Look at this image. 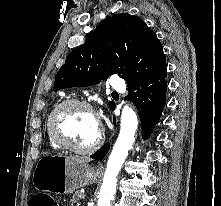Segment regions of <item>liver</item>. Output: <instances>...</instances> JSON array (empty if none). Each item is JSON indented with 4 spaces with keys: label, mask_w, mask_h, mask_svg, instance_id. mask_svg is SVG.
<instances>
[{
    "label": "liver",
    "mask_w": 221,
    "mask_h": 206,
    "mask_svg": "<svg viewBox=\"0 0 221 206\" xmlns=\"http://www.w3.org/2000/svg\"><path fill=\"white\" fill-rule=\"evenodd\" d=\"M74 159L79 162H85V163H88L90 161V159H84V158H74Z\"/></svg>",
    "instance_id": "obj_1"
}]
</instances>
